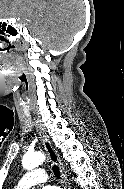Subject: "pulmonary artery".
Returning <instances> with one entry per match:
<instances>
[{
    "label": "pulmonary artery",
    "instance_id": "1",
    "mask_svg": "<svg viewBox=\"0 0 124 189\" xmlns=\"http://www.w3.org/2000/svg\"><path fill=\"white\" fill-rule=\"evenodd\" d=\"M48 179L44 169L38 168L25 174L17 183L18 189H28L36 184L44 183Z\"/></svg>",
    "mask_w": 124,
    "mask_h": 189
}]
</instances>
